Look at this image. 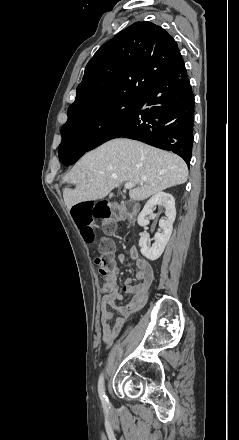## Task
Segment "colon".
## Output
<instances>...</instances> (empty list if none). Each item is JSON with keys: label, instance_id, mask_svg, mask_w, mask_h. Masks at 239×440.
Here are the masks:
<instances>
[{"label": "colon", "instance_id": "5ec220e1", "mask_svg": "<svg viewBox=\"0 0 239 440\" xmlns=\"http://www.w3.org/2000/svg\"><path fill=\"white\" fill-rule=\"evenodd\" d=\"M137 206L132 202H122L112 207L107 201L98 203L86 202L73 207L72 216L77 227L80 229L84 240L87 243L95 241V231L93 222L95 219L103 221L104 230L111 232L117 223L135 214ZM95 263L101 275L106 277V281L113 280L118 267L114 258L113 245L109 241H104L101 245L100 254L96 257Z\"/></svg>", "mask_w": 239, "mask_h": 440}]
</instances>
